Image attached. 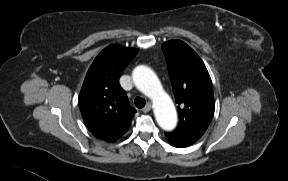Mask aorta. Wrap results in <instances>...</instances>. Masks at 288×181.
I'll return each instance as SVG.
<instances>
[{
	"label": "aorta",
	"mask_w": 288,
	"mask_h": 181,
	"mask_svg": "<svg viewBox=\"0 0 288 181\" xmlns=\"http://www.w3.org/2000/svg\"><path fill=\"white\" fill-rule=\"evenodd\" d=\"M132 78L135 86L152 99L158 125L163 130H173L177 124L176 109L154 71L147 66H138L134 69Z\"/></svg>",
	"instance_id": "obj_1"
}]
</instances>
